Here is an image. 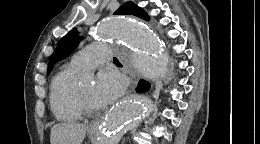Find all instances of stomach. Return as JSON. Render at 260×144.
<instances>
[{"label":"stomach","instance_id":"stomach-1","mask_svg":"<svg viewBox=\"0 0 260 144\" xmlns=\"http://www.w3.org/2000/svg\"><path fill=\"white\" fill-rule=\"evenodd\" d=\"M95 133L93 131L89 132V135L93 136Z\"/></svg>","mask_w":260,"mask_h":144}]
</instances>
